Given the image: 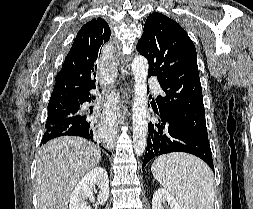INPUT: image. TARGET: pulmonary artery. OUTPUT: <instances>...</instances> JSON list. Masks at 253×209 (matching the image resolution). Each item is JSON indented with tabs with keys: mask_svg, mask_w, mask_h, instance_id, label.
<instances>
[{
	"mask_svg": "<svg viewBox=\"0 0 253 209\" xmlns=\"http://www.w3.org/2000/svg\"><path fill=\"white\" fill-rule=\"evenodd\" d=\"M149 87L158 95V94H162V90L161 87L159 85V83L157 82L156 79L151 78L148 81Z\"/></svg>",
	"mask_w": 253,
	"mask_h": 209,
	"instance_id": "obj_1",
	"label": "pulmonary artery"
}]
</instances>
